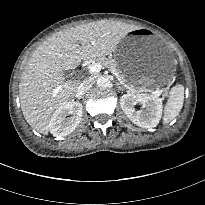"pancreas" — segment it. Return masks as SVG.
Here are the masks:
<instances>
[{"label":"pancreas","mask_w":205,"mask_h":205,"mask_svg":"<svg viewBox=\"0 0 205 205\" xmlns=\"http://www.w3.org/2000/svg\"><path fill=\"white\" fill-rule=\"evenodd\" d=\"M96 61L98 63H100L103 67L109 68V70L111 72H113V73L116 72V73H119L121 75L120 70H119L118 65H117V62L114 61L113 59L106 58L105 56H102V57H97ZM122 78H124V77L122 76Z\"/></svg>","instance_id":"cf45deb5"}]
</instances>
